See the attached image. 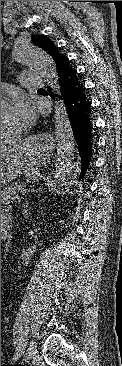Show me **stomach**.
Here are the masks:
<instances>
[{"label":"stomach","instance_id":"stomach-1","mask_svg":"<svg viewBox=\"0 0 122 366\" xmlns=\"http://www.w3.org/2000/svg\"><path fill=\"white\" fill-rule=\"evenodd\" d=\"M29 147L37 145V141L29 140ZM23 162V150L11 152L1 156V184H6L18 175V170Z\"/></svg>","mask_w":122,"mask_h":366}]
</instances>
